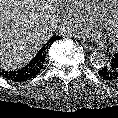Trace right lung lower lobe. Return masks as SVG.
<instances>
[{
  "mask_svg": "<svg viewBox=\"0 0 118 118\" xmlns=\"http://www.w3.org/2000/svg\"><path fill=\"white\" fill-rule=\"evenodd\" d=\"M51 39H50L51 42H53L55 40L61 39V37L57 36V37H54V38H51ZM47 47H48V45H47ZM40 50H39V52H40ZM38 53L31 60V62L29 64H27L25 67H23L22 69H19L17 71H10V72L2 71L1 75L3 77H5L6 79L12 80V81H15V82H22V81L33 78L43 68V64H44V61H45L46 50L44 52H42L41 54H38Z\"/></svg>",
  "mask_w": 118,
  "mask_h": 118,
  "instance_id": "98d812e1",
  "label": "right lung lower lobe"
}]
</instances>
